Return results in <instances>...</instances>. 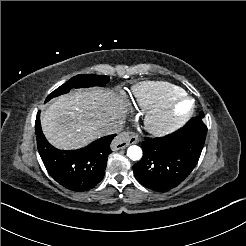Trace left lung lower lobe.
<instances>
[{
    "instance_id": "left-lung-lower-lobe-1",
    "label": "left lung lower lobe",
    "mask_w": 246,
    "mask_h": 246,
    "mask_svg": "<svg viewBox=\"0 0 246 246\" xmlns=\"http://www.w3.org/2000/svg\"><path fill=\"white\" fill-rule=\"evenodd\" d=\"M207 127L199 117L183 129L160 138H145L142 159L134 164L136 179L146 188L167 191L178 186L195 168L206 139Z\"/></svg>"
}]
</instances>
